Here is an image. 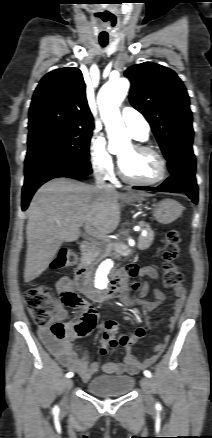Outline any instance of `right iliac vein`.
Wrapping results in <instances>:
<instances>
[{"label": "right iliac vein", "instance_id": "63e3f726", "mask_svg": "<svg viewBox=\"0 0 212 438\" xmlns=\"http://www.w3.org/2000/svg\"><path fill=\"white\" fill-rule=\"evenodd\" d=\"M72 385H73V381L71 379H66L64 382L65 391L66 392L69 391L71 389ZM66 404H67V400H66V398H64L62 400V405L66 406Z\"/></svg>", "mask_w": 212, "mask_h": 438}]
</instances>
